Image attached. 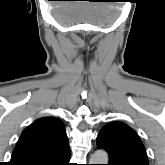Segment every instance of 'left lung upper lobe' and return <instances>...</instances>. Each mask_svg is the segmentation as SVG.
<instances>
[{
    "instance_id": "5c2ea615",
    "label": "left lung upper lobe",
    "mask_w": 165,
    "mask_h": 165,
    "mask_svg": "<svg viewBox=\"0 0 165 165\" xmlns=\"http://www.w3.org/2000/svg\"><path fill=\"white\" fill-rule=\"evenodd\" d=\"M97 146L108 152V165H149L139 136L122 122L106 124L97 136Z\"/></svg>"
}]
</instances>
